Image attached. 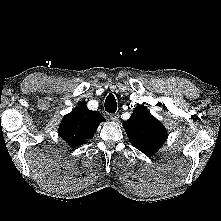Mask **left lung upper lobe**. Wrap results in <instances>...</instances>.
Listing matches in <instances>:
<instances>
[{
	"mask_svg": "<svg viewBox=\"0 0 221 221\" xmlns=\"http://www.w3.org/2000/svg\"><path fill=\"white\" fill-rule=\"evenodd\" d=\"M123 127L130 143L146 155L157 152L167 138L165 127L142 105L136 106Z\"/></svg>",
	"mask_w": 221,
	"mask_h": 221,
	"instance_id": "1",
	"label": "left lung upper lobe"
}]
</instances>
